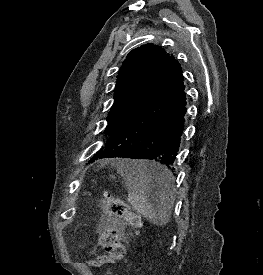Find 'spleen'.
Returning a JSON list of instances; mask_svg holds the SVG:
<instances>
[{"label": "spleen", "instance_id": "obj_1", "mask_svg": "<svg viewBox=\"0 0 263 275\" xmlns=\"http://www.w3.org/2000/svg\"><path fill=\"white\" fill-rule=\"evenodd\" d=\"M117 166L118 172L128 187V202L132 208L155 225L167 224L173 203L174 177L172 173L161 165L142 160H122ZM147 170L156 171L167 177V182L156 181L159 192L153 201L147 196L148 189L153 183L152 177L146 174Z\"/></svg>", "mask_w": 263, "mask_h": 275}]
</instances>
